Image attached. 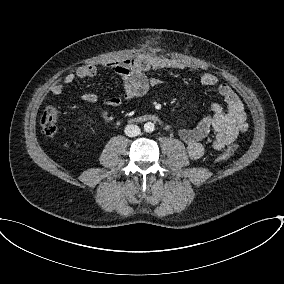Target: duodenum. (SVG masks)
<instances>
[{"mask_svg": "<svg viewBox=\"0 0 284 284\" xmlns=\"http://www.w3.org/2000/svg\"><path fill=\"white\" fill-rule=\"evenodd\" d=\"M144 120H150V121L160 122L161 123L160 119L156 115L145 116Z\"/></svg>", "mask_w": 284, "mask_h": 284, "instance_id": "410a0bca", "label": "duodenum"}]
</instances>
